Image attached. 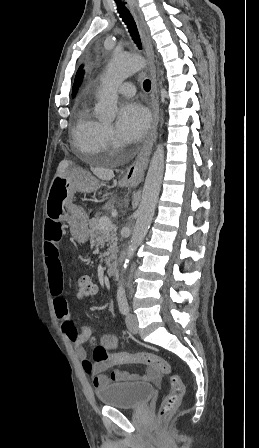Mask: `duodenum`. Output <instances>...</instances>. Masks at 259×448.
Listing matches in <instances>:
<instances>
[{"instance_id": "1", "label": "duodenum", "mask_w": 259, "mask_h": 448, "mask_svg": "<svg viewBox=\"0 0 259 448\" xmlns=\"http://www.w3.org/2000/svg\"><path fill=\"white\" fill-rule=\"evenodd\" d=\"M119 270V262L118 261H112L107 268V273L109 276H115L118 273Z\"/></svg>"}]
</instances>
